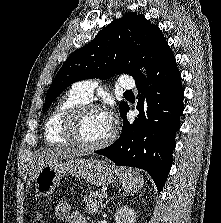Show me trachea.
Instances as JSON below:
<instances>
[{"mask_svg": "<svg viewBox=\"0 0 221 223\" xmlns=\"http://www.w3.org/2000/svg\"><path fill=\"white\" fill-rule=\"evenodd\" d=\"M124 94H133L132 91H126Z\"/></svg>", "mask_w": 221, "mask_h": 223, "instance_id": "1", "label": "trachea"}]
</instances>
